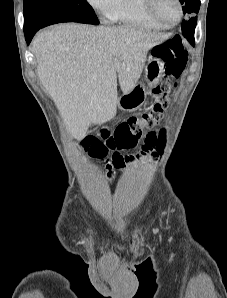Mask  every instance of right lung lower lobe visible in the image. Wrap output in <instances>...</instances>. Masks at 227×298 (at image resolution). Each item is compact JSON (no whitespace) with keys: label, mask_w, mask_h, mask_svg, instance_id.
<instances>
[{"label":"right lung lower lobe","mask_w":227,"mask_h":298,"mask_svg":"<svg viewBox=\"0 0 227 298\" xmlns=\"http://www.w3.org/2000/svg\"><path fill=\"white\" fill-rule=\"evenodd\" d=\"M39 29L37 30H34V31H31V32H28V33H25V39H26V42L27 44H29L33 38V36L35 35V33L38 31Z\"/></svg>","instance_id":"1"}]
</instances>
